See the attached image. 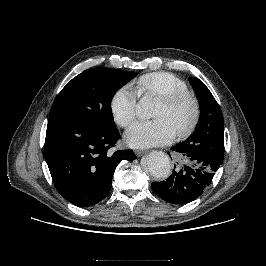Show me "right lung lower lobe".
Instances as JSON below:
<instances>
[{"label": "right lung lower lobe", "instance_id": "obj_1", "mask_svg": "<svg viewBox=\"0 0 266 266\" xmlns=\"http://www.w3.org/2000/svg\"><path fill=\"white\" fill-rule=\"evenodd\" d=\"M119 138L114 127L49 118L44 158L56 189L67 201L90 207L108 195L120 161L136 159L132 150L110 151Z\"/></svg>", "mask_w": 266, "mask_h": 266}]
</instances>
